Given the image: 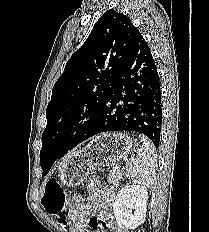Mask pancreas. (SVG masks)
<instances>
[{"mask_svg":"<svg viewBox=\"0 0 209 232\" xmlns=\"http://www.w3.org/2000/svg\"><path fill=\"white\" fill-rule=\"evenodd\" d=\"M123 171L119 168L112 169L108 176V182L111 183L112 189H116L122 179Z\"/></svg>","mask_w":209,"mask_h":232,"instance_id":"pancreas-1","label":"pancreas"}]
</instances>
